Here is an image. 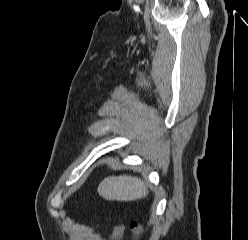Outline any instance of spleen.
<instances>
[{
	"mask_svg": "<svg viewBox=\"0 0 248 240\" xmlns=\"http://www.w3.org/2000/svg\"><path fill=\"white\" fill-rule=\"evenodd\" d=\"M99 194L107 200L134 201L148 195L143 181L128 175L105 178L98 187Z\"/></svg>",
	"mask_w": 248,
	"mask_h": 240,
	"instance_id": "3e777b00",
	"label": "spleen"
}]
</instances>
